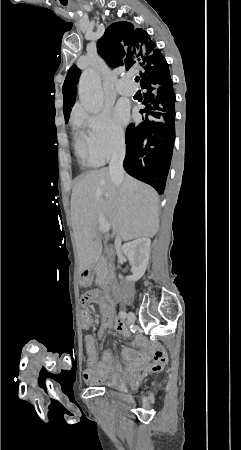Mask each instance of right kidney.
<instances>
[{
	"label": "right kidney",
	"mask_w": 241,
	"mask_h": 450,
	"mask_svg": "<svg viewBox=\"0 0 241 450\" xmlns=\"http://www.w3.org/2000/svg\"><path fill=\"white\" fill-rule=\"evenodd\" d=\"M151 242L149 238H137L133 242H128L122 246V252L126 256L132 270V276H128V282H137L144 276L149 258ZM122 278V276H119Z\"/></svg>",
	"instance_id": "ca27d5eb"
}]
</instances>
